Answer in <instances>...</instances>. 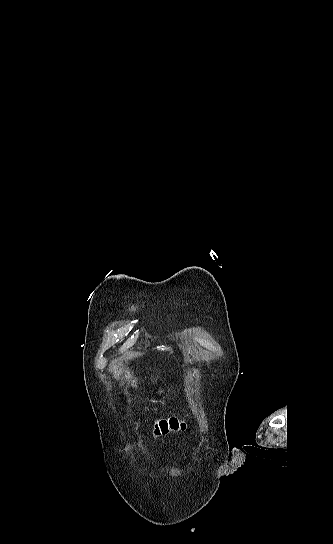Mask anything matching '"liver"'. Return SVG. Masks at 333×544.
<instances>
[{
	"mask_svg": "<svg viewBox=\"0 0 333 544\" xmlns=\"http://www.w3.org/2000/svg\"><path fill=\"white\" fill-rule=\"evenodd\" d=\"M125 377H126V379H128V380L132 378V376L130 375L129 372H127V374L125 375ZM134 382H135V381L133 380V381H132V386H133V387H136V384L134 385Z\"/></svg>",
	"mask_w": 333,
	"mask_h": 544,
	"instance_id": "6515ba94",
	"label": "liver"
}]
</instances>
